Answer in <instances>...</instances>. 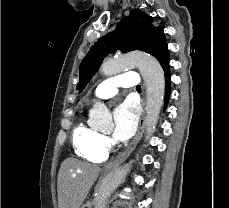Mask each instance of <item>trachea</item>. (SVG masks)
I'll list each match as a JSON object with an SVG mask.
<instances>
[{"label":"trachea","instance_id":"3493384b","mask_svg":"<svg viewBox=\"0 0 229 208\" xmlns=\"http://www.w3.org/2000/svg\"><path fill=\"white\" fill-rule=\"evenodd\" d=\"M136 88H141V87H140V85H137V87H136Z\"/></svg>","mask_w":229,"mask_h":208}]
</instances>
